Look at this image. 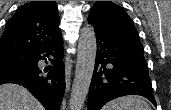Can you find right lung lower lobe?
<instances>
[{
    "label": "right lung lower lobe",
    "mask_w": 171,
    "mask_h": 110,
    "mask_svg": "<svg viewBox=\"0 0 171 110\" xmlns=\"http://www.w3.org/2000/svg\"><path fill=\"white\" fill-rule=\"evenodd\" d=\"M62 38L32 52L29 64L10 70L0 71V85L17 83L26 87L46 108L59 110L65 91ZM49 65L40 66V60ZM48 60V62H47Z\"/></svg>",
    "instance_id": "98d812e1"
}]
</instances>
